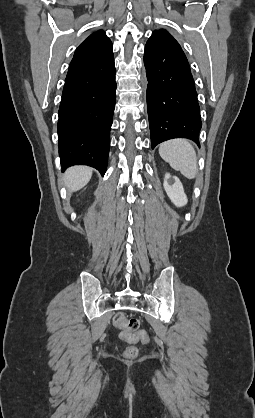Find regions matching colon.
Wrapping results in <instances>:
<instances>
[{
  "label": "colon",
  "mask_w": 255,
  "mask_h": 418,
  "mask_svg": "<svg viewBox=\"0 0 255 418\" xmlns=\"http://www.w3.org/2000/svg\"><path fill=\"white\" fill-rule=\"evenodd\" d=\"M114 325L121 329V337L130 343H147L148 335L145 331H138L139 321L136 318H127L123 313L118 312L114 316ZM138 350L134 345H129L124 350V357L133 359L137 356Z\"/></svg>",
  "instance_id": "1"
}]
</instances>
